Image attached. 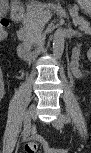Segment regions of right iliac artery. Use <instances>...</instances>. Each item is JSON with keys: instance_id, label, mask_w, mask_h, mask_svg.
Masks as SVG:
<instances>
[{"instance_id": "obj_1", "label": "right iliac artery", "mask_w": 91, "mask_h": 153, "mask_svg": "<svg viewBox=\"0 0 91 153\" xmlns=\"http://www.w3.org/2000/svg\"><path fill=\"white\" fill-rule=\"evenodd\" d=\"M30 133V128L24 126V135L23 138H26Z\"/></svg>"}]
</instances>
